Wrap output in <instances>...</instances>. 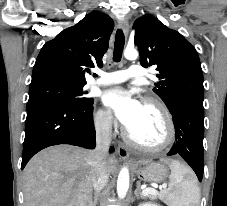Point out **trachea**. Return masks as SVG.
<instances>
[{
    "label": "trachea",
    "mask_w": 227,
    "mask_h": 206,
    "mask_svg": "<svg viewBox=\"0 0 227 206\" xmlns=\"http://www.w3.org/2000/svg\"><path fill=\"white\" fill-rule=\"evenodd\" d=\"M125 44L124 33L121 29H118L115 37L113 60L119 62L122 57V52Z\"/></svg>",
    "instance_id": "trachea-1"
}]
</instances>
